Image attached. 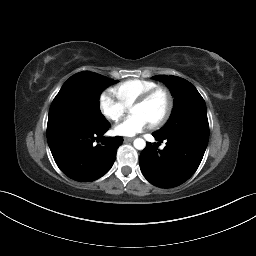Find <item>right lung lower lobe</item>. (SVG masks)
<instances>
[{"mask_svg":"<svg viewBox=\"0 0 256 256\" xmlns=\"http://www.w3.org/2000/svg\"><path fill=\"white\" fill-rule=\"evenodd\" d=\"M109 127V124L94 129L77 124L48 125V144L60 170L78 182L94 181L106 174L123 142V138L117 136L103 137L100 145L94 144Z\"/></svg>","mask_w":256,"mask_h":256,"instance_id":"right-lung-lower-lobe-1","label":"right lung lower lobe"}]
</instances>
